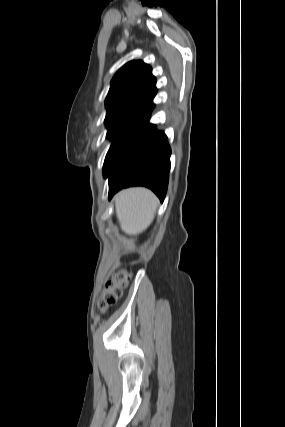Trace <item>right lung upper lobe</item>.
Listing matches in <instances>:
<instances>
[{
    "label": "right lung upper lobe",
    "mask_w": 285,
    "mask_h": 427,
    "mask_svg": "<svg viewBox=\"0 0 285 427\" xmlns=\"http://www.w3.org/2000/svg\"><path fill=\"white\" fill-rule=\"evenodd\" d=\"M156 79L142 61L125 64L113 77L105 105L107 117L118 114L147 113L153 108Z\"/></svg>",
    "instance_id": "1"
}]
</instances>
